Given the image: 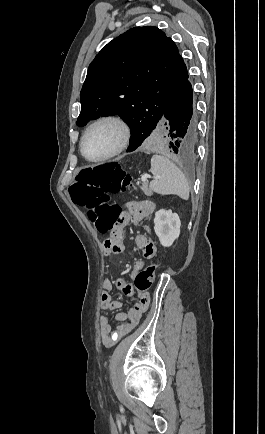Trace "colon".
Segmentation results:
<instances>
[{"label":"colon","mask_w":265,"mask_h":434,"mask_svg":"<svg viewBox=\"0 0 265 434\" xmlns=\"http://www.w3.org/2000/svg\"><path fill=\"white\" fill-rule=\"evenodd\" d=\"M106 164H84L77 175L68 184L69 202H80L86 207V212L96 230L102 235H110L121 213L117 202H111L109 193L125 192L133 185V179L116 160L109 158ZM157 263L151 262L134 278L137 289L136 297L148 293L155 280L153 276ZM141 300V299H140ZM139 319H126L124 330L134 326Z\"/></svg>","instance_id":"5ec220e1"}]
</instances>
